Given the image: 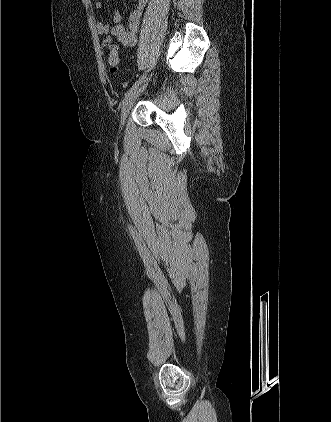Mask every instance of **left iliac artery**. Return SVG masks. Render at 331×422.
<instances>
[{
    "instance_id": "1",
    "label": "left iliac artery",
    "mask_w": 331,
    "mask_h": 422,
    "mask_svg": "<svg viewBox=\"0 0 331 422\" xmlns=\"http://www.w3.org/2000/svg\"><path fill=\"white\" fill-rule=\"evenodd\" d=\"M146 77V72H144L141 77L134 83V85L125 93V98L128 97L138 86L143 82Z\"/></svg>"
}]
</instances>
